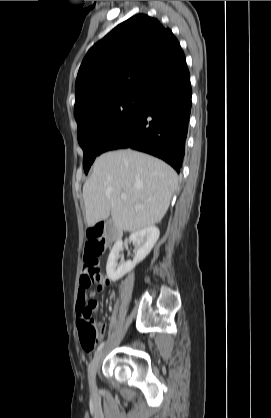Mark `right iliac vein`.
Returning a JSON list of instances; mask_svg holds the SVG:
<instances>
[{
	"mask_svg": "<svg viewBox=\"0 0 271 418\" xmlns=\"http://www.w3.org/2000/svg\"><path fill=\"white\" fill-rule=\"evenodd\" d=\"M102 357V351L99 352L91 361L89 369H88V375H89V380H90V384L92 386V388L95 387V378H96V373H97V369L100 363Z\"/></svg>",
	"mask_w": 271,
	"mask_h": 418,
	"instance_id": "obj_1",
	"label": "right iliac vein"
}]
</instances>
